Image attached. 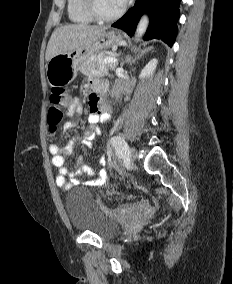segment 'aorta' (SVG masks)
<instances>
[{
  "label": "aorta",
  "instance_id": "762f6f07",
  "mask_svg": "<svg viewBox=\"0 0 233 284\" xmlns=\"http://www.w3.org/2000/svg\"><path fill=\"white\" fill-rule=\"evenodd\" d=\"M149 19L147 15H143L137 25L135 32V39L138 41L146 32L148 27Z\"/></svg>",
  "mask_w": 233,
  "mask_h": 284
}]
</instances>
